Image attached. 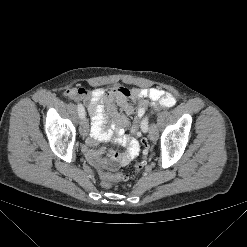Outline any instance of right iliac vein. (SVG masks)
<instances>
[{"instance_id":"1","label":"right iliac vein","mask_w":247,"mask_h":247,"mask_svg":"<svg viewBox=\"0 0 247 247\" xmlns=\"http://www.w3.org/2000/svg\"><path fill=\"white\" fill-rule=\"evenodd\" d=\"M79 131L83 137L87 136L88 131H89V123H88L87 118L85 117L82 118Z\"/></svg>"}]
</instances>
